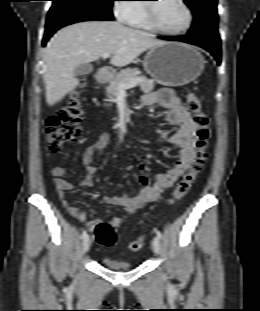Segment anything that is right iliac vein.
Segmentation results:
<instances>
[{
	"label": "right iliac vein",
	"instance_id": "right-iliac-vein-1",
	"mask_svg": "<svg viewBox=\"0 0 260 311\" xmlns=\"http://www.w3.org/2000/svg\"><path fill=\"white\" fill-rule=\"evenodd\" d=\"M91 246V238L89 236L85 237L82 244L83 253H87Z\"/></svg>",
	"mask_w": 260,
	"mask_h": 311
}]
</instances>
